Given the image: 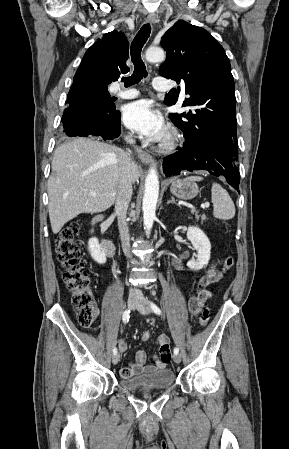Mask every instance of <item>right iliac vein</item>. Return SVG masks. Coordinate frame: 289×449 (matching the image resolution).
I'll return each mask as SVG.
<instances>
[{
  "label": "right iliac vein",
  "instance_id": "obj_1",
  "mask_svg": "<svg viewBox=\"0 0 289 449\" xmlns=\"http://www.w3.org/2000/svg\"><path fill=\"white\" fill-rule=\"evenodd\" d=\"M128 307L131 309H134L137 304V296L135 294H130L128 301H127ZM120 356L119 354H115L112 357V363L116 365L119 362Z\"/></svg>",
  "mask_w": 289,
  "mask_h": 449
}]
</instances>
